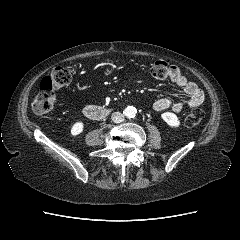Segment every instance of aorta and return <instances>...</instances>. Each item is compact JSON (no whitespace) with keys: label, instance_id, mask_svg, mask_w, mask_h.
Segmentation results:
<instances>
[{"label":"aorta","instance_id":"aorta-1","mask_svg":"<svg viewBox=\"0 0 240 240\" xmlns=\"http://www.w3.org/2000/svg\"><path fill=\"white\" fill-rule=\"evenodd\" d=\"M124 114L129 117V118H133L136 116L137 114V109L133 106H128L125 110H124Z\"/></svg>","mask_w":240,"mask_h":240}]
</instances>
